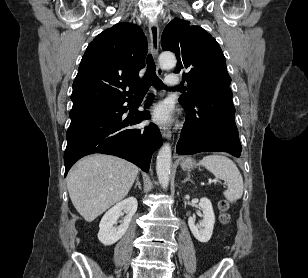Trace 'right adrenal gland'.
<instances>
[{"label":"right adrenal gland","instance_id":"2a0ac1e0","mask_svg":"<svg viewBox=\"0 0 308 278\" xmlns=\"http://www.w3.org/2000/svg\"><path fill=\"white\" fill-rule=\"evenodd\" d=\"M137 186L139 187V189H141V183L139 182V176L136 177V184L134 188L136 189Z\"/></svg>","mask_w":308,"mask_h":278}]
</instances>
